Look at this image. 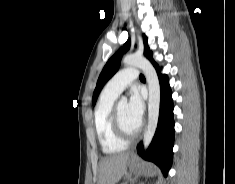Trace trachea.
<instances>
[{
	"mask_svg": "<svg viewBox=\"0 0 235 184\" xmlns=\"http://www.w3.org/2000/svg\"><path fill=\"white\" fill-rule=\"evenodd\" d=\"M140 79H145L144 75L140 74Z\"/></svg>",
	"mask_w": 235,
	"mask_h": 184,
	"instance_id": "1",
	"label": "trachea"
}]
</instances>
